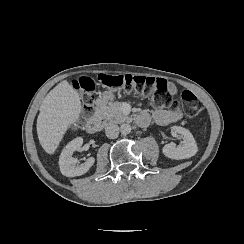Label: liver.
Returning <instances> with one entry per match:
<instances>
[{
    "mask_svg": "<svg viewBox=\"0 0 244 244\" xmlns=\"http://www.w3.org/2000/svg\"><path fill=\"white\" fill-rule=\"evenodd\" d=\"M83 105L77 90L62 82L49 91L39 107L36 131L42 149L54 155L71 126L80 119Z\"/></svg>",
    "mask_w": 244,
    "mask_h": 244,
    "instance_id": "6515ba94",
    "label": "liver"
}]
</instances>
